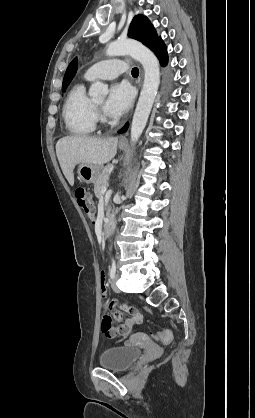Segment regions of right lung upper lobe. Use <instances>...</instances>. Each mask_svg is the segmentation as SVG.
Returning a JSON list of instances; mask_svg holds the SVG:
<instances>
[{"instance_id":"cb5924a9","label":"right lung upper lobe","mask_w":255,"mask_h":418,"mask_svg":"<svg viewBox=\"0 0 255 418\" xmlns=\"http://www.w3.org/2000/svg\"><path fill=\"white\" fill-rule=\"evenodd\" d=\"M77 71V59L75 58L70 65L68 66L65 76H64V80H63V85L62 88H65L68 86V84L70 83V81L72 80V78L74 77L75 73Z\"/></svg>"}]
</instances>
